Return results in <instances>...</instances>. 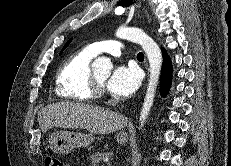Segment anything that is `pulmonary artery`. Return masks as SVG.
I'll return each mask as SVG.
<instances>
[{"label":"pulmonary artery","mask_w":231,"mask_h":166,"mask_svg":"<svg viewBox=\"0 0 231 166\" xmlns=\"http://www.w3.org/2000/svg\"><path fill=\"white\" fill-rule=\"evenodd\" d=\"M89 47L96 55L108 53L113 56H120L124 49V44L119 40H104L94 42Z\"/></svg>","instance_id":"pulmonary-artery-1"}]
</instances>
